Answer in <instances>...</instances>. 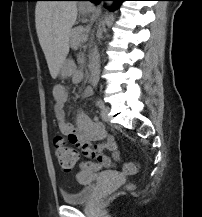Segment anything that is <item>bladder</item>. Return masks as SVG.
Segmentation results:
<instances>
[{
  "instance_id": "1",
  "label": "bladder",
  "mask_w": 202,
  "mask_h": 217,
  "mask_svg": "<svg viewBox=\"0 0 202 217\" xmlns=\"http://www.w3.org/2000/svg\"><path fill=\"white\" fill-rule=\"evenodd\" d=\"M76 177L80 185L79 189L75 193L62 194L63 201L69 205H81L90 202L95 195L96 181L100 178H113L115 173L82 171Z\"/></svg>"
}]
</instances>
